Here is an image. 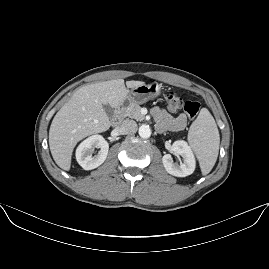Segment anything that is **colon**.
<instances>
[{
	"instance_id": "5ec220e1",
	"label": "colon",
	"mask_w": 269,
	"mask_h": 269,
	"mask_svg": "<svg viewBox=\"0 0 269 269\" xmlns=\"http://www.w3.org/2000/svg\"><path fill=\"white\" fill-rule=\"evenodd\" d=\"M165 107L172 113L184 110L193 119L198 115L201 104L195 100H184L179 94L169 91L165 94Z\"/></svg>"
}]
</instances>
